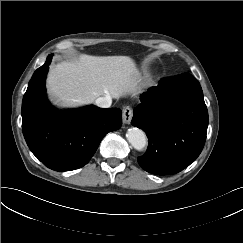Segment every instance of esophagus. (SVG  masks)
<instances>
[{
	"mask_svg": "<svg viewBox=\"0 0 243 243\" xmlns=\"http://www.w3.org/2000/svg\"><path fill=\"white\" fill-rule=\"evenodd\" d=\"M133 117V110L131 107L126 106L122 111V118L124 124H130Z\"/></svg>",
	"mask_w": 243,
	"mask_h": 243,
	"instance_id": "34e87169",
	"label": "esophagus"
}]
</instances>
